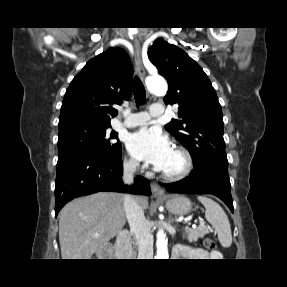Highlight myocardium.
I'll return each instance as SVG.
<instances>
[{"label": "myocardium", "instance_id": "1", "mask_svg": "<svg viewBox=\"0 0 287 287\" xmlns=\"http://www.w3.org/2000/svg\"><path fill=\"white\" fill-rule=\"evenodd\" d=\"M173 150L182 156L184 165L182 169L177 172L169 173L162 171L161 176L168 181H179L189 176V174L192 172L194 167V159L190 151L185 147L175 146Z\"/></svg>", "mask_w": 287, "mask_h": 287}]
</instances>
